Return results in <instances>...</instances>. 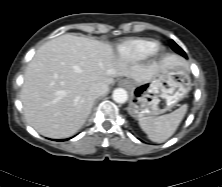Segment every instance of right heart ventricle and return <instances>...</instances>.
<instances>
[{
	"label": "right heart ventricle",
	"mask_w": 222,
	"mask_h": 187,
	"mask_svg": "<svg viewBox=\"0 0 222 187\" xmlns=\"http://www.w3.org/2000/svg\"><path fill=\"white\" fill-rule=\"evenodd\" d=\"M156 41L148 38L130 39L118 46V54L121 58L136 62L152 55L156 48Z\"/></svg>",
	"instance_id": "obj_1"
}]
</instances>
